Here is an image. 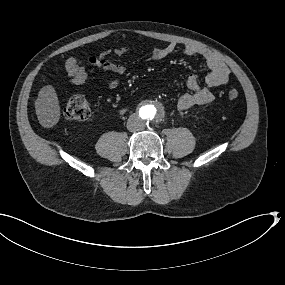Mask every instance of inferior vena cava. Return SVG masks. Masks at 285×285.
Instances as JSON below:
<instances>
[{"mask_svg": "<svg viewBox=\"0 0 285 285\" xmlns=\"http://www.w3.org/2000/svg\"><path fill=\"white\" fill-rule=\"evenodd\" d=\"M143 128H144V123L139 117L134 116L128 119L127 129L129 131L135 132V131L142 130Z\"/></svg>", "mask_w": 285, "mask_h": 285, "instance_id": "602c4592", "label": "inferior vena cava"}]
</instances>
